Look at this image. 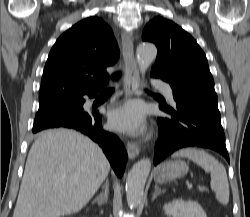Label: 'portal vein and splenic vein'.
<instances>
[{
    "instance_id": "1",
    "label": "portal vein and splenic vein",
    "mask_w": 250,
    "mask_h": 217,
    "mask_svg": "<svg viewBox=\"0 0 250 217\" xmlns=\"http://www.w3.org/2000/svg\"><path fill=\"white\" fill-rule=\"evenodd\" d=\"M188 188L189 189L192 188V184L191 183H188ZM202 189H205V188L202 187Z\"/></svg>"
}]
</instances>
